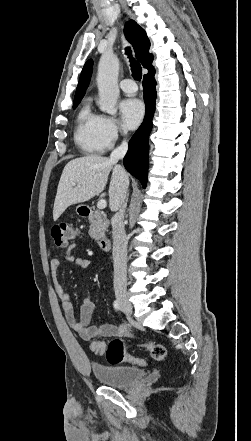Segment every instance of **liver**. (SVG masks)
I'll list each match as a JSON object with an SVG mask.
<instances>
[{"instance_id":"6515ba94","label":"liver","mask_w":251,"mask_h":441,"mask_svg":"<svg viewBox=\"0 0 251 441\" xmlns=\"http://www.w3.org/2000/svg\"><path fill=\"white\" fill-rule=\"evenodd\" d=\"M111 171L109 205L111 210H115L127 186L124 181V174L127 175L124 168L99 155H87L69 161L58 184L53 208L54 221L58 220L69 206L88 201L101 193Z\"/></svg>"}]
</instances>
